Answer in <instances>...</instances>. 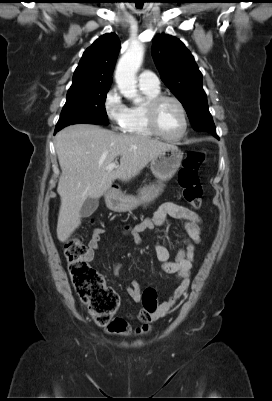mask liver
<instances>
[{
  "label": "liver",
  "mask_w": 272,
  "mask_h": 401,
  "mask_svg": "<svg viewBox=\"0 0 272 401\" xmlns=\"http://www.w3.org/2000/svg\"><path fill=\"white\" fill-rule=\"evenodd\" d=\"M173 145L138 135L117 134L92 124L70 125L55 137L61 168L57 192L61 205L57 237L65 242L81 224L80 210L87 198H99L114 180L136 177L159 153ZM120 156L112 171L106 166Z\"/></svg>",
  "instance_id": "1"
}]
</instances>
